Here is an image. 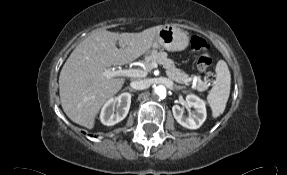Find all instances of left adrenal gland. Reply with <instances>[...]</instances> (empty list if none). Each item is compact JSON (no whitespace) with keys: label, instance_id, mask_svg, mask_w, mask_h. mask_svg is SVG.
I'll return each instance as SVG.
<instances>
[{"label":"left adrenal gland","instance_id":"a2214340","mask_svg":"<svg viewBox=\"0 0 287 175\" xmlns=\"http://www.w3.org/2000/svg\"><path fill=\"white\" fill-rule=\"evenodd\" d=\"M183 87H181V86H176V89H182Z\"/></svg>","mask_w":287,"mask_h":175}]
</instances>
